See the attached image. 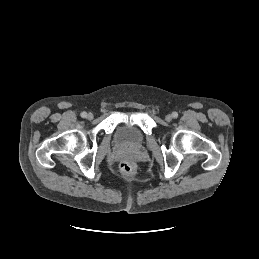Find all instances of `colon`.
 Wrapping results in <instances>:
<instances>
[{"label":"colon","instance_id":"1","mask_svg":"<svg viewBox=\"0 0 259 259\" xmlns=\"http://www.w3.org/2000/svg\"><path fill=\"white\" fill-rule=\"evenodd\" d=\"M120 170L123 174L131 175L135 172L134 164L130 161H123L120 164Z\"/></svg>","mask_w":259,"mask_h":259}]
</instances>
